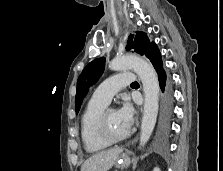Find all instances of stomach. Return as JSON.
<instances>
[{"instance_id":"0dacf381","label":"stomach","mask_w":223,"mask_h":171,"mask_svg":"<svg viewBox=\"0 0 223 171\" xmlns=\"http://www.w3.org/2000/svg\"><path fill=\"white\" fill-rule=\"evenodd\" d=\"M129 164H130V158L126 153H122L116 162V166L122 168L129 166Z\"/></svg>"}]
</instances>
